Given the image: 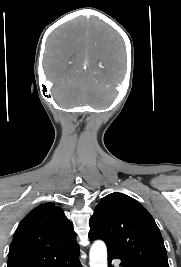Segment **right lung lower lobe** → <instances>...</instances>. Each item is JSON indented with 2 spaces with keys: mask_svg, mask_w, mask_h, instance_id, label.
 Wrapping results in <instances>:
<instances>
[{
  "mask_svg": "<svg viewBox=\"0 0 181 267\" xmlns=\"http://www.w3.org/2000/svg\"><path fill=\"white\" fill-rule=\"evenodd\" d=\"M79 250L69 254L67 256L56 259L54 262L46 265H18L16 267H80V261L78 259Z\"/></svg>",
  "mask_w": 181,
  "mask_h": 267,
  "instance_id": "right-lung-lower-lobe-1",
  "label": "right lung lower lobe"
}]
</instances>
